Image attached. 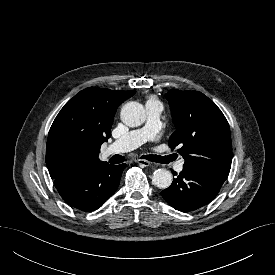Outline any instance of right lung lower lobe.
Listing matches in <instances>:
<instances>
[{"label":"right lung lower lobe","mask_w":275,"mask_h":275,"mask_svg":"<svg viewBox=\"0 0 275 275\" xmlns=\"http://www.w3.org/2000/svg\"><path fill=\"white\" fill-rule=\"evenodd\" d=\"M126 166L105 162L85 171L55 179L54 184L69 205L90 212L101 207L114 194Z\"/></svg>","instance_id":"1"}]
</instances>
